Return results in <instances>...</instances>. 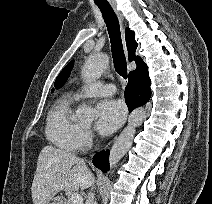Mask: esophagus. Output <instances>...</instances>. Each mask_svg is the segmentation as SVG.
Listing matches in <instances>:
<instances>
[{
    "mask_svg": "<svg viewBox=\"0 0 212 204\" xmlns=\"http://www.w3.org/2000/svg\"><path fill=\"white\" fill-rule=\"evenodd\" d=\"M113 9H114L116 15L118 16V19H119L121 27H122L123 46H124L125 52H127L126 43H125V36H124V18L122 16L121 12L116 7H113Z\"/></svg>",
    "mask_w": 212,
    "mask_h": 204,
    "instance_id": "1",
    "label": "esophagus"
}]
</instances>
